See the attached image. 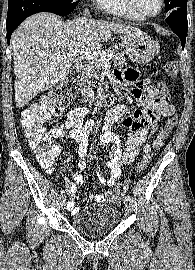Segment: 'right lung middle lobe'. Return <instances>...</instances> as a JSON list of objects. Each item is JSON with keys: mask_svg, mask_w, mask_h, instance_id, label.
Wrapping results in <instances>:
<instances>
[{"mask_svg": "<svg viewBox=\"0 0 195 270\" xmlns=\"http://www.w3.org/2000/svg\"><path fill=\"white\" fill-rule=\"evenodd\" d=\"M56 4L55 14L66 16L70 14L78 4V0H51ZM78 1L77 3H75Z\"/></svg>", "mask_w": 195, "mask_h": 270, "instance_id": "obj_1", "label": "right lung middle lobe"}]
</instances>
